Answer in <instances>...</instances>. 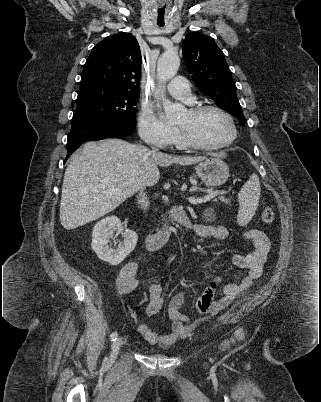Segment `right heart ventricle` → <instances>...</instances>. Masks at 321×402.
Listing matches in <instances>:
<instances>
[{
    "mask_svg": "<svg viewBox=\"0 0 321 402\" xmlns=\"http://www.w3.org/2000/svg\"><path fill=\"white\" fill-rule=\"evenodd\" d=\"M173 143H174V144L176 145V147H178V148H181V149L187 148V146L183 143V141H182V139H181V137H180V135H179L178 132H177V134H176V136H175V138H174Z\"/></svg>",
    "mask_w": 321,
    "mask_h": 402,
    "instance_id": "obj_1",
    "label": "right heart ventricle"
}]
</instances>
